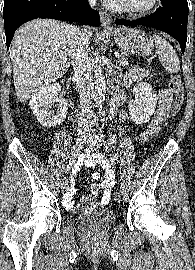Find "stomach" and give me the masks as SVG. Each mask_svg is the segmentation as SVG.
<instances>
[{"mask_svg":"<svg viewBox=\"0 0 195 270\" xmlns=\"http://www.w3.org/2000/svg\"><path fill=\"white\" fill-rule=\"evenodd\" d=\"M119 47L138 55H149L154 48L153 41L140 29H116L112 31Z\"/></svg>","mask_w":195,"mask_h":270,"instance_id":"stomach-1","label":"stomach"}]
</instances>
